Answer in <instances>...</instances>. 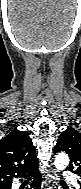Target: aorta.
I'll use <instances>...</instances> for the list:
<instances>
[{"mask_svg":"<svg viewBox=\"0 0 81 189\" xmlns=\"http://www.w3.org/2000/svg\"><path fill=\"white\" fill-rule=\"evenodd\" d=\"M69 164V158L66 154L64 153H59L54 161V166L56 167L57 170H64L67 165Z\"/></svg>","mask_w":81,"mask_h":189,"instance_id":"762f6f07","label":"aorta"}]
</instances>
